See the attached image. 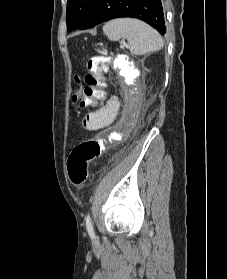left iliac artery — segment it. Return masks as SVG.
<instances>
[{
	"label": "left iliac artery",
	"instance_id": "44dca946",
	"mask_svg": "<svg viewBox=\"0 0 227 279\" xmlns=\"http://www.w3.org/2000/svg\"><path fill=\"white\" fill-rule=\"evenodd\" d=\"M85 220H86V228H87L89 235L91 237H94V228H93V223H92V218H91L90 213L87 214Z\"/></svg>",
	"mask_w": 227,
	"mask_h": 279
}]
</instances>
